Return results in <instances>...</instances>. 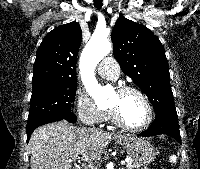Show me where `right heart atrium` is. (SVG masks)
Instances as JSON below:
<instances>
[{
    "mask_svg": "<svg viewBox=\"0 0 200 169\" xmlns=\"http://www.w3.org/2000/svg\"><path fill=\"white\" fill-rule=\"evenodd\" d=\"M74 110L78 118L88 125H99L106 118V110L98 106L89 95L81 91H78L75 96Z\"/></svg>",
    "mask_w": 200,
    "mask_h": 169,
    "instance_id": "right-heart-atrium-1",
    "label": "right heart atrium"
}]
</instances>
